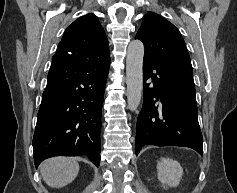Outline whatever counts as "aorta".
<instances>
[{
  "label": "aorta",
  "instance_id": "aorta-1",
  "mask_svg": "<svg viewBox=\"0 0 237 193\" xmlns=\"http://www.w3.org/2000/svg\"><path fill=\"white\" fill-rule=\"evenodd\" d=\"M144 45L140 40L130 42L126 58L127 102L131 111H136L143 90Z\"/></svg>",
  "mask_w": 237,
  "mask_h": 193
}]
</instances>
